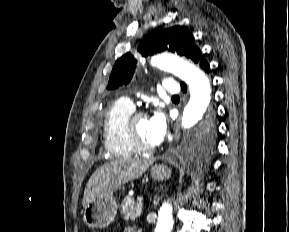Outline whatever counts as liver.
Here are the masks:
<instances>
[{"instance_id": "1", "label": "liver", "mask_w": 289, "mask_h": 232, "mask_svg": "<svg viewBox=\"0 0 289 232\" xmlns=\"http://www.w3.org/2000/svg\"><path fill=\"white\" fill-rule=\"evenodd\" d=\"M153 162L152 159H123L114 160L99 167L85 187L83 207L96 197L111 193L121 185L138 179Z\"/></svg>"}]
</instances>
